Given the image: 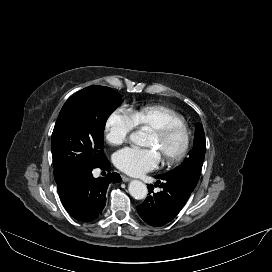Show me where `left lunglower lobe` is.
Returning a JSON list of instances; mask_svg holds the SVG:
<instances>
[{
	"label": "left lung lower lobe",
	"mask_w": 272,
	"mask_h": 272,
	"mask_svg": "<svg viewBox=\"0 0 272 272\" xmlns=\"http://www.w3.org/2000/svg\"><path fill=\"white\" fill-rule=\"evenodd\" d=\"M161 192L153 193L149 185V196L137 206L140 217L151 226H163L170 222L184 207L195 186L179 179L156 175Z\"/></svg>",
	"instance_id": "obj_1"
}]
</instances>
